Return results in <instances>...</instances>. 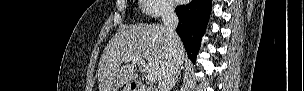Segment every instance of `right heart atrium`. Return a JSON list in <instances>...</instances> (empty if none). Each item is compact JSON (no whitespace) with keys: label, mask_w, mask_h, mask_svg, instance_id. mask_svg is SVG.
I'll return each instance as SVG.
<instances>
[{"label":"right heart atrium","mask_w":304,"mask_h":91,"mask_svg":"<svg viewBox=\"0 0 304 91\" xmlns=\"http://www.w3.org/2000/svg\"><path fill=\"white\" fill-rule=\"evenodd\" d=\"M142 5L144 12L150 17L163 16L171 11L168 0H143Z\"/></svg>","instance_id":"d8ad5b80"}]
</instances>
